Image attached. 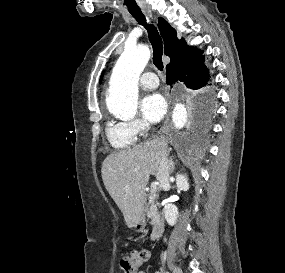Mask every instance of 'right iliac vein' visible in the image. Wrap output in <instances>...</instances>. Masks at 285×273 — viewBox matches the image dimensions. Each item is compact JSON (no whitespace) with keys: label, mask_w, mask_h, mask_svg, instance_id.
Wrapping results in <instances>:
<instances>
[{"label":"right iliac vein","mask_w":285,"mask_h":273,"mask_svg":"<svg viewBox=\"0 0 285 273\" xmlns=\"http://www.w3.org/2000/svg\"><path fill=\"white\" fill-rule=\"evenodd\" d=\"M173 273H182V270L179 267H174Z\"/></svg>","instance_id":"right-iliac-vein-1"}]
</instances>
